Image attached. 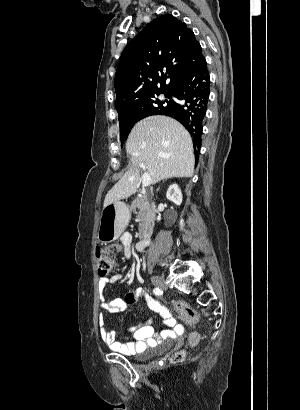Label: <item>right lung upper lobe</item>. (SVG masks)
Segmentation results:
<instances>
[{"instance_id": "obj_1", "label": "right lung upper lobe", "mask_w": 300, "mask_h": 410, "mask_svg": "<svg viewBox=\"0 0 300 410\" xmlns=\"http://www.w3.org/2000/svg\"><path fill=\"white\" fill-rule=\"evenodd\" d=\"M202 58L201 46L184 22L166 14L149 23L126 46L117 67L119 121L138 116L147 97L172 91L176 81Z\"/></svg>"}]
</instances>
